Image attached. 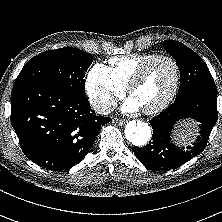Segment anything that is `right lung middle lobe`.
Listing matches in <instances>:
<instances>
[{
  "label": "right lung middle lobe",
  "mask_w": 222,
  "mask_h": 222,
  "mask_svg": "<svg viewBox=\"0 0 222 222\" xmlns=\"http://www.w3.org/2000/svg\"><path fill=\"white\" fill-rule=\"evenodd\" d=\"M92 61L90 53L72 47L45 51L25 64L15 84L43 83L85 94V72Z\"/></svg>",
  "instance_id": "obj_1"
}]
</instances>
